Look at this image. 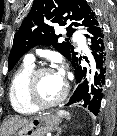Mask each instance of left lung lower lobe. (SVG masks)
Returning <instances> with one entry per match:
<instances>
[{"mask_svg":"<svg viewBox=\"0 0 117 136\" xmlns=\"http://www.w3.org/2000/svg\"><path fill=\"white\" fill-rule=\"evenodd\" d=\"M86 37L89 39L93 66L91 69L81 67L77 57L71 63L75 69L77 89L66 106L81 105L94 115L99 112L106 72L108 69V46L103 27L91 30Z\"/></svg>","mask_w":117,"mask_h":136,"instance_id":"1","label":"left lung lower lobe"}]
</instances>
